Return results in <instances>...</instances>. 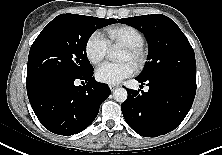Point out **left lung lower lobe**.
I'll list each match as a JSON object with an SVG mask.
<instances>
[{"label":"left lung lower lobe","instance_id":"1","mask_svg":"<svg viewBox=\"0 0 222 155\" xmlns=\"http://www.w3.org/2000/svg\"><path fill=\"white\" fill-rule=\"evenodd\" d=\"M148 92L127 89L121 105L127 124L139 135L157 137L174 130L189 112L196 93V81L177 75L136 77Z\"/></svg>","mask_w":222,"mask_h":155}]
</instances>
